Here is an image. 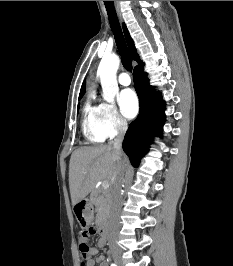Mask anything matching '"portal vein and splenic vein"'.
<instances>
[{"label": "portal vein and splenic vein", "mask_w": 233, "mask_h": 266, "mask_svg": "<svg viewBox=\"0 0 233 266\" xmlns=\"http://www.w3.org/2000/svg\"><path fill=\"white\" fill-rule=\"evenodd\" d=\"M109 182L108 181H104L103 182V184H102V187H103V189H107V188H109Z\"/></svg>", "instance_id": "portal-vein-and-splenic-vein-1"}]
</instances>
